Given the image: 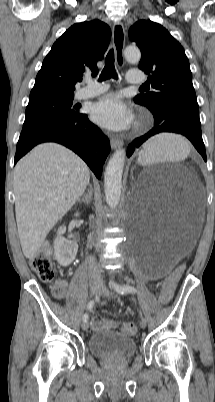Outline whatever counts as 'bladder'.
Listing matches in <instances>:
<instances>
[{
    "mask_svg": "<svg viewBox=\"0 0 215 402\" xmlns=\"http://www.w3.org/2000/svg\"><path fill=\"white\" fill-rule=\"evenodd\" d=\"M88 348L98 358L121 361L135 354L136 342L127 334L101 329L89 337Z\"/></svg>",
    "mask_w": 215,
    "mask_h": 402,
    "instance_id": "obj_1",
    "label": "bladder"
}]
</instances>
